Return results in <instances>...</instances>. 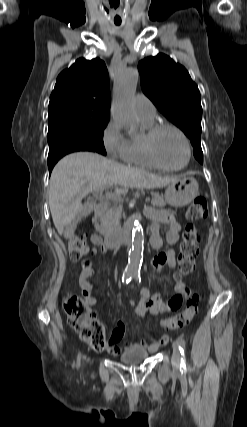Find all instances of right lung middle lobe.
I'll list each match as a JSON object with an SVG mask.
<instances>
[{"mask_svg":"<svg viewBox=\"0 0 247 427\" xmlns=\"http://www.w3.org/2000/svg\"><path fill=\"white\" fill-rule=\"evenodd\" d=\"M110 118L109 112L64 109L48 116V144L76 142L106 155L103 132Z\"/></svg>","mask_w":247,"mask_h":427,"instance_id":"right-lung-middle-lobe-1","label":"right lung middle lobe"}]
</instances>
